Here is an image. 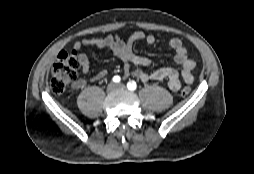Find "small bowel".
<instances>
[{
  "mask_svg": "<svg viewBox=\"0 0 254 174\" xmlns=\"http://www.w3.org/2000/svg\"><path fill=\"white\" fill-rule=\"evenodd\" d=\"M145 41L148 45L155 43V37L152 34H145L143 31L133 32L126 40L119 36L107 37H90L75 42L74 49L77 55L79 68L83 74H87L90 70V61L88 56L81 52L84 46L108 48L111 52L126 63L124 69L125 75H132L144 83L153 81L166 80L168 86L173 91L181 88L182 81L186 84H192L194 81L193 70L195 61L189 57L187 49L182 41L173 38L169 41V47L174 52V61L180 66V70L172 67H162L151 72H145L141 69H133L132 66H150L151 60L145 56L138 55L134 52L133 46L137 41ZM107 75L106 70H101L90 78L96 81ZM87 80L80 78L72 83L74 89H82L86 86Z\"/></svg>",
  "mask_w": 254,
  "mask_h": 174,
  "instance_id": "small-bowel-1",
  "label": "small bowel"
}]
</instances>
